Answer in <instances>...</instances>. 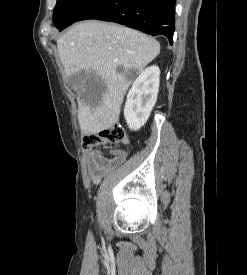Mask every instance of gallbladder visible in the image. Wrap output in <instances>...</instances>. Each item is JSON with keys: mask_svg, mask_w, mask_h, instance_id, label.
<instances>
[{"mask_svg": "<svg viewBox=\"0 0 247 275\" xmlns=\"http://www.w3.org/2000/svg\"><path fill=\"white\" fill-rule=\"evenodd\" d=\"M68 82L84 101L105 90L104 82L93 72L80 71L68 77Z\"/></svg>", "mask_w": 247, "mask_h": 275, "instance_id": "gallbladder-1", "label": "gallbladder"}]
</instances>
